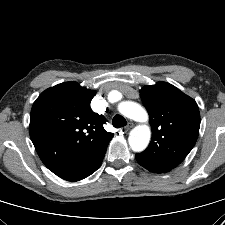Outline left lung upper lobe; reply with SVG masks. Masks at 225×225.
Listing matches in <instances>:
<instances>
[{
	"mask_svg": "<svg viewBox=\"0 0 225 225\" xmlns=\"http://www.w3.org/2000/svg\"><path fill=\"white\" fill-rule=\"evenodd\" d=\"M141 100L149 113L152 138L140 155L170 169L177 167L196 143L200 114L197 103L175 86H144Z\"/></svg>",
	"mask_w": 225,
	"mask_h": 225,
	"instance_id": "5c2ea615",
	"label": "left lung upper lobe"
}]
</instances>
